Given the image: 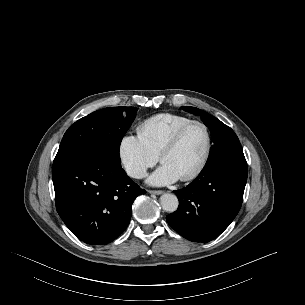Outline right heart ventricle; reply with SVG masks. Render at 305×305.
I'll return each instance as SVG.
<instances>
[{"instance_id": "obj_1", "label": "right heart ventricle", "mask_w": 305, "mask_h": 305, "mask_svg": "<svg viewBox=\"0 0 305 305\" xmlns=\"http://www.w3.org/2000/svg\"><path fill=\"white\" fill-rule=\"evenodd\" d=\"M191 119L186 116L162 113L144 120L137 128L138 136L148 149L158 156L173 133Z\"/></svg>"}]
</instances>
